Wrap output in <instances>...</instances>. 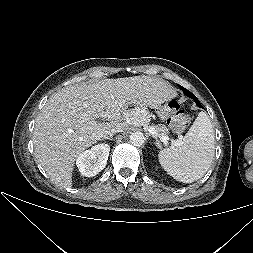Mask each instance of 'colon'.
Here are the masks:
<instances>
[{
    "label": "colon",
    "instance_id": "5ec220e1",
    "mask_svg": "<svg viewBox=\"0 0 253 253\" xmlns=\"http://www.w3.org/2000/svg\"><path fill=\"white\" fill-rule=\"evenodd\" d=\"M166 108L168 109V125L173 131L179 132L189 125V117L180 110L177 101H172Z\"/></svg>",
    "mask_w": 253,
    "mask_h": 253
}]
</instances>
